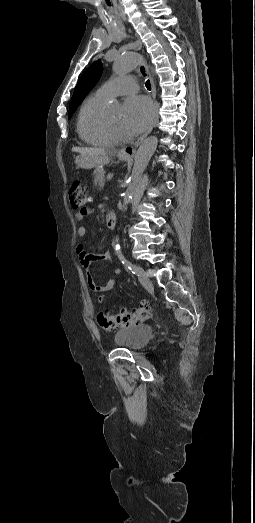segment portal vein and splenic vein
<instances>
[{
    "label": "portal vein and splenic vein",
    "mask_w": 255,
    "mask_h": 523,
    "mask_svg": "<svg viewBox=\"0 0 255 523\" xmlns=\"http://www.w3.org/2000/svg\"><path fill=\"white\" fill-rule=\"evenodd\" d=\"M114 177H115V174H114L113 172H108V173L106 174V180H107L108 182H111V181L113 180Z\"/></svg>",
    "instance_id": "portal-vein-and-splenic-vein-1"
}]
</instances>
